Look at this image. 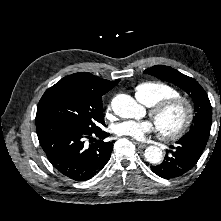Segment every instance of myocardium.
Listing matches in <instances>:
<instances>
[{
  "mask_svg": "<svg viewBox=\"0 0 221 221\" xmlns=\"http://www.w3.org/2000/svg\"><path fill=\"white\" fill-rule=\"evenodd\" d=\"M174 106H178L181 109L182 120L175 129L165 131L158 125V119L165 110ZM149 114L155 123L159 137L166 141H175L180 139L190 128L194 118V108L187 98L177 96L159 101L151 106Z\"/></svg>",
  "mask_w": 221,
  "mask_h": 221,
  "instance_id": "obj_1",
  "label": "myocardium"
}]
</instances>
